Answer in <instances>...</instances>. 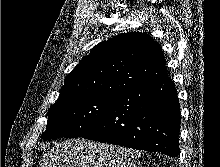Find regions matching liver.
I'll use <instances>...</instances> for the list:
<instances>
[{"instance_id":"liver-1","label":"liver","mask_w":220,"mask_h":167,"mask_svg":"<svg viewBox=\"0 0 220 167\" xmlns=\"http://www.w3.org/2000/svg\"><path fill=\"white\" fill-rule=\"evenodd\" d=\"M139 156L132 149L79 138L56 142L40 167H135Z\"/></svg>"}]
</instances>
